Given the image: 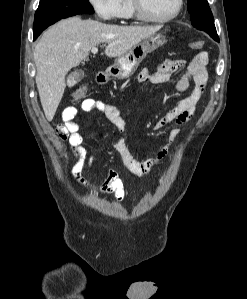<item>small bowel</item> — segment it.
I'll return each mask as SVG.
<instances>
[{"label":"small bowel","mask_w":247,"mask_h":299,"mask_svg":"<svg viewBox=\"0 0 247 299\" xmlns=\"http://www.w3.org/2000/svg\"><path fill=\"white\" fill-rule=\"evenodd\" d=\"M207 63L208 54L200 52L188 64L185 60H165L154 73L149 72L147 69H143L140 72L138 77L140 82L162 84L168 82L174 72L186 66L185 72L177 81V89L180 92H185L190 87L191 81H193V88L190 95L183 99L177 106L170 109L164 117L158 119L154 124V129L161 130L170 123L182 125L191 118L205 90ZM80 110L83 112L97 110L106 116L115 129V135L110 142L111 147L120 155L125 168L138 177L149 175L163 163L170 152V144L178 136V129L176 127L172 128L169 132L170 144L160 149L155 158L139 161L132 156L122 137V133L125 130V121L116 106L101 100L87 98L82 101L79 107L68 106L64 109L62 114L63 122L57 126L56 133L61 140L69 142L73 148V156L78 158L72 169L74 181L90 193L102 192L113 194L118 202L124 199L125 188L123 181L116 171L109 170L104 179L97 185L91 184L82 176L84 167L86 165L89 167L92 166L93 157L88 155L87 150L83 146V136L80 132V126L76 121Z\"/></svg>","instance_id":"obj_1"}]
</instances>
